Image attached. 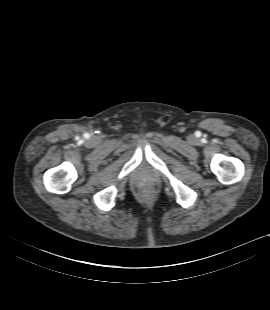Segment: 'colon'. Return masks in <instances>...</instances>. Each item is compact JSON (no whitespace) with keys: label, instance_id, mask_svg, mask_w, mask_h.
Returning <instances> with one entry per match:
<instances>
[{"label":"colon","instance_id":"obj_1","mask_svg":"<svg viewBox=\"0 0 270 310\" xmlns=\"http://www.w3.org/2000/svg\"><path fill=\"white\" fill-rule=\"evenodd\" d=\"M151 193L150 192H147V195H150Z\"/></svg>","mask_w":270,"mask_h":310}]
</instances>
